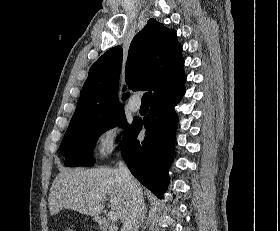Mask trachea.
Returning a JSON list of instances; mask_svg holds the SVG:
<instances>
[{"instance_id":"1","label":"trachea","mask_w":280,"mask_h":231,"mask_svg":"<svg viewBox=\"0 0 280 231\" xmlns=\"http://www.w3.org/2000/svg\"><path fill=\"white\" fill-rule=\"evenodd\" d=\"M151 96H152L151 91H148L147 93H144V95L141 99V104L149 106L150 101H151Z\"/></svg>"}]
</instances>
